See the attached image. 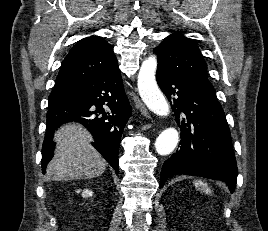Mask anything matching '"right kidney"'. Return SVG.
<instances>
[{
  "label": "right kidney",
  "mask_w": 268,
  "mask_h": 231,
  "mask_svg": "<svg viewBox=\"0 0 268 231\" xmlns=\"http://www.w3.org/2000/svg\"><path fill=\"white\" fill-rule=\"evenodd\" d=\"M79 192H80V190H77V193H79ZM92 195H93V192H92V190H89V189H84L82 192V196L84 198L91 197Z\"/></svg>",
  "instance_id": "ca27d5eb"
}]
</instances>
